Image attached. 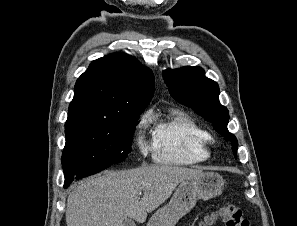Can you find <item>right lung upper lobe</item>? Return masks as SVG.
<instances>
[{"label": "right lung upper lobe", "mask_w": 297, "mask_h": 226, "mask_svg": "<svg viewBox=\"0 0 297 226\" xmlns=\"http://www.w3.org/2000/svg\"><path fill=\"white\" fill-rule=\"evenodd\" d=\"M154 82L152 71L128 54L94 60L77 79L66 122H117L128 107L148 105Z\"/></svg>", "instance_id": "1"}]
</instances>
